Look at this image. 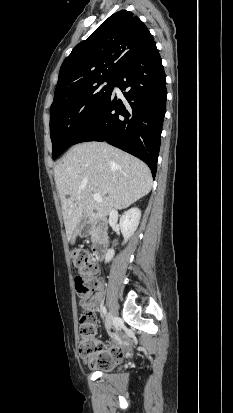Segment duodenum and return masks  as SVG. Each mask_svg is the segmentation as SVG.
I'll return each mask as SVG.
<instances>
[{
  "mask_svg": "<svg viewBox=\"0 0 233 413\" xmlns=\"http://www.w3.org/2000/svg\"><path fill=\"white\" fill-rule=\"evenodd\" d=\"M88 232L89 230L87 228H83L82 230L83 234H87ZM94 233H95V241L92 246V251H93V255L95 256V258L100 260L103 258L105 254L108 239H107L106 233L100 228L95 229Z\"/></svg>",
  "mask_w": 233,
  "mask_h": 413,
  "instance_id": "duodenum-1",
  "label": "duodenum"
}]
</instances>
